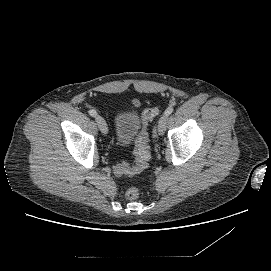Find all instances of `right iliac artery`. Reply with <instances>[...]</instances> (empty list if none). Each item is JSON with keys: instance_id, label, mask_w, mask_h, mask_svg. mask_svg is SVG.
Instances as JSON below:
<instances>
[{"instance_id": "obj_1", "label": "right iliac artery", "mask_w": 271, "mask_h": 271, "mask_svg": "<svg viewBox=\"0 0 271 271\" xmlns=\"http://www.w3.org/2000/svg\"><path fill=\"white\" fill-rule=\"evenodd\" d=\"M89 114H90L92 117L97 116V112H96L94 109L89 110Z\"/></svg>"}]
</instances>
